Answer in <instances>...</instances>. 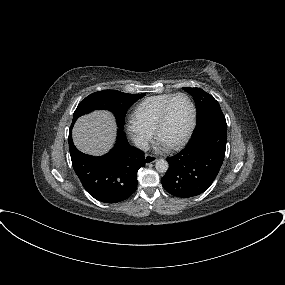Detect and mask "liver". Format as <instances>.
I'll use <instances>...</instances> for the list:
<instances>
[{"instance_id":"6515ba94","label":"liver","mask_w":285,"mask_h":285,"mask_svg":"<svg viewBox=\"0 0 285 285\" xmlns=\"http://www.w3.org/2000/svg\"><path fill=\"white\" fill-rule=\"evenodd\" d=\"M116 135L114 117L105 111H94L80 117L73 128V141L82 152L94 156L107 153Z\"/></svg>"}]
</instances>
